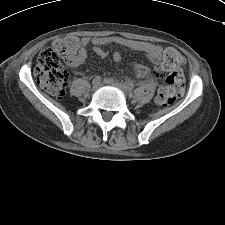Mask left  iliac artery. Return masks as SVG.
<instances>
[{"instance_id": "1", "label": "left iliac artery", "mask_w": 225, "mask_h": 225, "mask_svg": "<svg viewBox=\"0 0 225 225\" xmlns=\"http://www.w3.org/2000/svg\"><path fill=\"white\" fill-rule=\"evenodd\" d=\"M128 88H129V90H132L134 88V84L133 83H129L128 84Z\"/></svg>"}]
</instances>
